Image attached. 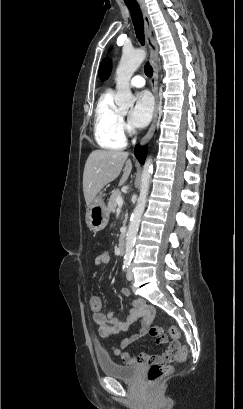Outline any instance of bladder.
Returning <instances> with one entry per match:
<instances>
[{
    "label": "bladder",
    "instance_id": "bladder-1",
    "mask_svg": "<svg viewBox=\"0 0 243 409\" xmlns=\"http://www.w3.org/2000/svg\"><path fill=\"white\" fill-rule=\"evenodd\" d=\"M98 364L105 375L121 381H134L141 372L138 365H122L112 359L98 358Z\"/></svg>",
    "mask_w": 243,
    "mask_h": 409
}]
</instances>
